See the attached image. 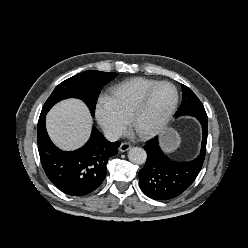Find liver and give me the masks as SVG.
I'll return each mask as SVG.
<instances>
[{
	"label": "liver",
	"instance_id": "liver-1",
	"mask_svg": "<svg viewBox=\"0 0 248 248\" xmlns=\"http://www.w3.org/2000/svg\"><path fill=\"white\" fill-rule=\"evenodd\" d=\"M92 117L87 106L78 99H66L56 104L46 116L51 140L63 150L81 147L91 133Z\"/></svg>",
	"mask_w": 248,
	"mask_h": 248
}]
</instances>
